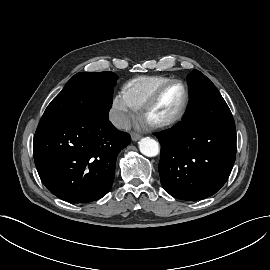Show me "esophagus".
Listing matches in <instances>:
<instances>
[{"label":"esophagus","instance_id":"obj_1","mask_svg":"<svg viewBox=\"0 0 270 270\" xmlns=\"http://www.w3.org/2000/svg\"><path fill=\"white\" fill-rule=\"evenodd\" d=\"M131 138H132L133 141H137V140H139L141 138V135L138 134V133L133 132L131 134Z\"/></svg>","mask_w":270,"mask_h":270}]
</instances>
